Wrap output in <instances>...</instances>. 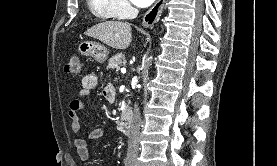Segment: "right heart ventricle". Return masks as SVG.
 Masks as SVG:
<instances>
[{
	"label": "right heart ventricle",
	"instance_id": "right-heart-ventricle-1",
	"mask_svg": "<svg viewBox=\"0 0 277 166\" xmlns=\"http://www.w3.org/2000/svg\"><path fill=\"white\" fill-rule=\"evenodd\" d=\"M90 13L101 21L113 20L119 17L113 0H86Z\"/></svg>",
	"mask_w": 277,
	"mask_h": 166
}]
</instances>
